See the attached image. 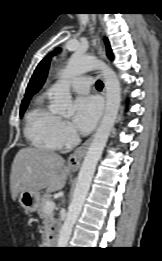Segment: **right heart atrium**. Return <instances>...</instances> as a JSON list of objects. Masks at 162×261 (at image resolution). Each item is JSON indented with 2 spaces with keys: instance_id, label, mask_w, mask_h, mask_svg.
I'll use <instances>...</instances> for the list:
<instances>
[{
  "instance_id": "right-heart-atrium-1",
  "label": "right heart atrium",
  "mask_w": 162,
  "mask_h": 261,
  "mask_svg": "<svg viewBox=\"0 0 162 261\" xmlns=\"http://www.w3.org/2000/svg\"><path fill=\"white\" fill-rule=\"evenodd\" d=\"M54 137L57 147L60 148L73 144L77 139L70 123L61 118H58L54 125Z\"/></svg>"
}]
</instances>
